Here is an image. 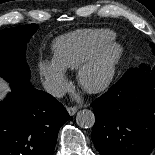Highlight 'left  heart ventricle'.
Returning a JSON list of instances; mask_svg holds the SVG:
<instances>
[{"mask_svg": "<svg viewBox=\"0 0 155 155\" xmlns=\"http://www.w3.org/2000/svg\"><path fill=\"white\" fill-rule=\"evenodd\" d=\"M104 75V66H101L99 69L95 70L88 78L89 82H96L100 80Z\"/></svg>", "mask_w": 155, "mask_h": 155, "instance_id": "1", "label": "left heart ventricle"}]
</instances>
